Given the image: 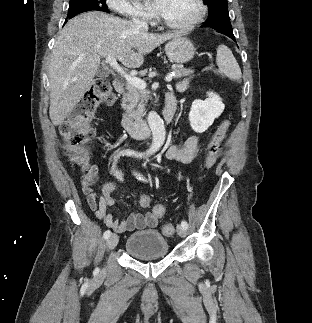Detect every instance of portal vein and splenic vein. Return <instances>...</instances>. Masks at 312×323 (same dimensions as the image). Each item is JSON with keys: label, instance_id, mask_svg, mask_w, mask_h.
Masks as SVG:
<instances>
[{"label": "portal vein and splenic vein", "instance_id": "18ae733b", "mask_svg": "<svg viewBox=\"0 0 312 323\" xmlns=\"http://www.w3.org/2000/svg\"><path fill=\"white\" fill-rule=\"evenodd\" d=\"M107 62L110 64V66H112L113 70H116V72L122 76V78H126L128 84H131V86L141 88V90L146 88V82H143V80H140V78H135V76H129V74H126V72H124L123 68H120L118 62H116L114 58H108ZM173 76H175V74H170V76H167V78H165L166 82H171Z\"/></svg>", "mask_w": 312, "mask_h": 323}]
</instances>
